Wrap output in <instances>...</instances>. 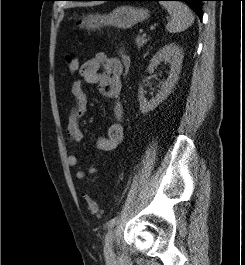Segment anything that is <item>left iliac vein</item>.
Masks as SVG:
<instances>
[{
  "instance_id": "left-iliac-vein-1",
  "label": "left iliac vein",
  "mask_w": 245,
  "mask_h": 265,
  "mask_svg": "<svg viewBox=\"0 0 245 265\" xmlns=\"http://www.w3.org/2000/svg\"><path fill=\"white\" fill-rule=\"evenodd\" d=\"M114 231L110 230L105 237L104 254L107 258L114 255L113 252Z\"/></svg>"
}]
</instances>
